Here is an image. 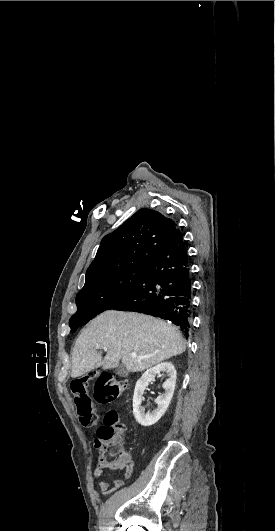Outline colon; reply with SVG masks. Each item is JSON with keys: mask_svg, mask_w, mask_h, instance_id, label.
<instances>
[{"mask_svg": "<svg viewBox=\"0 0 275 531\" xmlns=\"http://www.w3.org/2000/svg\"><path fill=\"white\" fill-rule=\"evenodd\" d=\"M92 379L95 380L93 400L104 404L116 400L127 389V382L120 376L112 375L107 370L101 369L98 373H83L81 376L72 377L70 389L72 401L77 408V423L92 426L97 417L93 414V403L89 396L92 395ZM98 444L103 446L104 466L107 469L118 468L123 460V444L127 440L124 424L119 422V414L115 410L106 412L103 416L101 428H98ZM130 475L127 470L126 477ZM112 488L123 485L122 480H113Z\"/></svg>", "mask_w": 275, "mask_h": 531, "instance_id": "5ec220e1", "label": "colon"}]
</instances>
